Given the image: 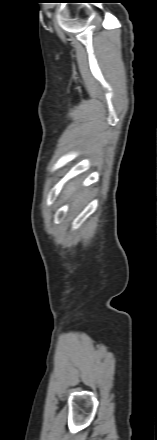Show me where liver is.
Returning a JSON list of instances; mask_svg holds the SVG:
<instances>
[{
	"mask_svg": "<svg viewBox=\"0 0 157 440\" xmlns=\"http://www.w3.org/2000/svg\"><path fill=\"white\" fill-rule=\"evenodd\" d=\"M78 183L76 181L69 183L63 191V197L65 200L73 197L72 207L76 206L79 202H81L85 193H77Z\"/></svg>",
	"mask_w": 157,
	"mask_h": 440,
	"instance_id": "6515ba94",
	"label": "liver"
}]
</instances>
